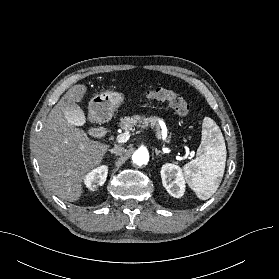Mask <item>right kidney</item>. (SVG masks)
<instances>
[{
  "label": "right kidney",
  "instance_id": "obj_1",
  "mask_svg": "<svg viewBox=\"0 0 279 279\" xmlns=\"http://www.w3.org/2000/svg\"><path fill=\"white\" fill-rule=\"evenodd\" d=\"M107 174L108 167L102 165L89 172L84 178V183L89 190L95 191L99 186H102L105 183Z\"/></svg>",
  "mask_w": 279,
  "mask_h": 279
}]
</instances>
